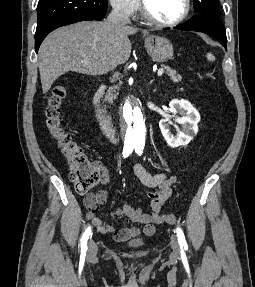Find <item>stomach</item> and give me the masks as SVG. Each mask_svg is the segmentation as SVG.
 I'll return each mask as SVG.
<instances>
[{
	"instance_id": "0dacf381",
	"label": "stomach",
	"mask_w": 255,
	"mask_h": 287,
	"mask_svg": "<svg viewBox=\"0 0 255 287\" xmlns=\"http://www.w3.org/2000/svg\"><path fill=\"white\" fill-rule=\"evenodd\" d=\"M145 48L147 54L152 58L153 62H167L173 56V44L168 38H160V36H146Z\"/></svg>"
}]
</instances>
